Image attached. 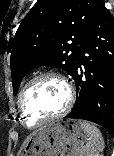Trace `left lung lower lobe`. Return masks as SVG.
<instances>
[{"instance_id": "0a47b994", "label": "left lung lower lobe", "mask_w": 114, "mask_h": 156, "mask_svg": "<svg viewBox=\"0 0 114 156\" xmlns=\"http://www.w3.org/2000/svg\"><path fill=\"white\" fill-rule=\"evenodd\" d=\"M77 99L65 118L97 123L114 131V19L104 3L96 7L82 39L75 72Z\"/></svg>"}]
</instances>
